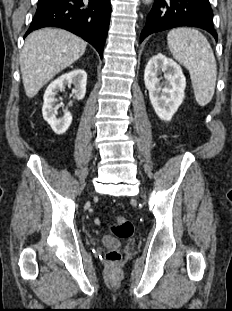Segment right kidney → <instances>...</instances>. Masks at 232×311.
<instances>
[{
    "label": "right kidney",
    "mask_w": 232,
    "mask_h": 311,
    "mask_svg": "<svg viewBox=\"0 0 232 311\" xmlns=\"http://www.w3.org/2000/svg\"><path fill=\"white\" fill-rule=\"evenodd\" d=\"M87 74L82 69H75L69 73L61 75L52 81L47 87L44 94V103L42 107L43 118L51 126L52 130L58 134H64L72 122V115L69 111L64 112V116L59 119L56 117L57 98L59 91L64 89L65 85H74V98L81 100L86 93Z\"/></svg>",
    "instance_id": "ca27d5eb"
}]
</instances>
